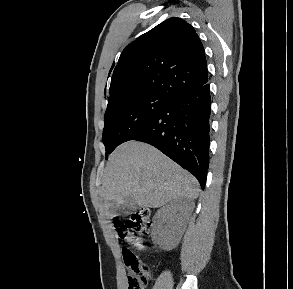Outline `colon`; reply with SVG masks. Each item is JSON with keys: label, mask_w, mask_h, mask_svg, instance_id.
Instances as JSON below:
<instances>
[{"label": "colon", "mask_w": 293, "mask_h": 289, "mask_svg": "<svg viewBox=\"0 0 293 289\" xmlns=\"http://www.w3.org/2000/svg\"><path fill=\"white\" fill-rule=\"evenodd\" d=\"M114 225L120 239L142 250L148 247V244L138 236L147 235L150 231V215L147 210H136L124 220H116ZM123 257L128 270L127 289H145L151 279L149 265L127 248L123 250Z\"/></svg>", "instance_id": "1"}]
</instances>
